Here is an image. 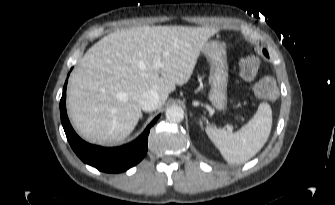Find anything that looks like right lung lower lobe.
I'll use <instances>...</instances> for the list:
<instances>
[{
  "instance_id": "1",
  "label": "right lung lower lobe",
  "mask_w": 335,
  "mask_h": 205,
  "mask_svg": "<svg viewBox=\"0 0 335 205\" xmlns=\"http://www.w3.org/2000/svg\"><path fill=\"white\" fill-rule=\"evenodd\" d=\"M67 82L68 80L65 81L60 100V115L67 140L77 156L83 162L107 173L123 172L140 162L147 153L150 128L156 123L159 116L147 126L135 141L127 145L117 148H103L88 144L77 136L69 122L66 112Z\"/></svg>"
}]
</instances>
